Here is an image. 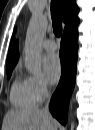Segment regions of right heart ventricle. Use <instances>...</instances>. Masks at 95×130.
Instances as JSON below:
<instances>
[{"mask_svg":"<svg viewBox=\"0 0 95 130\" xmlns=\"http://www.w3.org/2000/svg\"><path fill=\"white\" fill-rule=\"evenodd\" d=\"M11 102L18 108H32L37 101L32 93L27 79H16L11 88Z\"/></svg>","mask_w":95,"mask_h":130,"instance_id":"obj_1","label":"right heart ventricle"}]
</instances>
